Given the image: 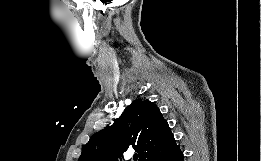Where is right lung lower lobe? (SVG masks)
<instances>
[{
  "mask_svg": "<svg viewBox=\"0 0 261 161\" xmlns=\"http://www.w3.org/2000/svg\"><path fill=\"white\" fill-rule=\"evenodd\" d=\"M145 161H183V153L175 143L169 148L153 153Z\"/></svg>",
  "mask_w": 261,
  "mask_h": 161,
  "instance_id": "obj_1",
  "label": "right lung lower lobe"
}]
</instances>
